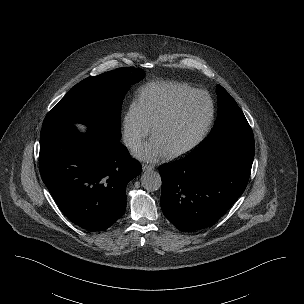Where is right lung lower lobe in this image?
<instances>
[{"mask_svg": "<svg viewBox=\"0 0 304 304\" xmlns=\"http://www.w3.org/2000/svg\"><path fill=\"white\" fill-rule=\"evenodd\" d=\"M39 170L62 212L89 231L109 228L125 212L126 186L141 173L119 141L74 125L41 131Z\"/></svg>", "mask_w": 304, "mask_h": 304, "instance_id": "98d812e1", "label": "right lung lower lobe"}]
</instances>
